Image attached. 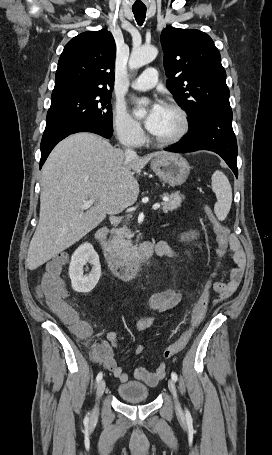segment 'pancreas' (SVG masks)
<instances>
[{
	"instance_id": "obj_1",
	"label": "pancreas",
	"mask_w": 272,
	"mask_h": 455,
	"mask_svg": "<svg viewBox=\"0 0 272 455\" xmlns=\"http://www.w3.org/2000/svg\"><path fill=\"white\" fill-rule=\"evenodd\" d=\"M168 200L161 203L164 212L173 211L180 207L184 196L179 193L165 195ZM113 237L108 241L107 247L123 261L129 260L132 249L131 238L133 234L127 227L117 228L113 231Z\"/></svg>"
}]
</instances>
